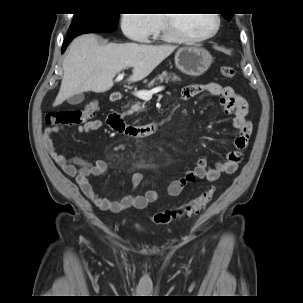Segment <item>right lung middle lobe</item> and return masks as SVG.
<instances>
[{"mask_svg":"<svg viewBox=\"0 0 303 303\" xmlns=\"http://www.w3.org/2000/svg\"><path fill=\"white\" fill-rule=\"evenodd\" d=\"M118 20V13L105 12L74 14L73 22L67 32V35L79 33L92 27H117Z\"/></svg>","mask_w":303,"mask_h":303,"instance_id":"dd1d6c3e","label":"right lung middle lobe"}]
</instances>
